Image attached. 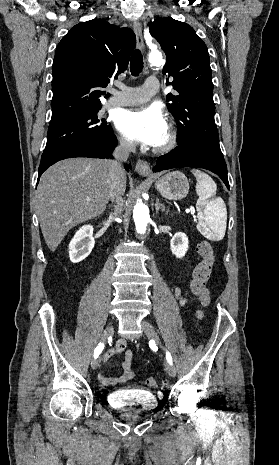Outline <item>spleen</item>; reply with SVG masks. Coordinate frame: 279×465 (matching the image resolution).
Wrapping results in <instances>:
<instances>
[{"label": "spleen", "instance_id": "3e777b00", "mask_svg": "<svg viewBox=\"0 0 279 465\" xmlns=\"http://www.w3.org/2000/svg\"><path fill=\"white\" fill-rule=\"evenodd\" d=\"M192 173L197 179L196 193L199 196L196 203L197 228L212 240H222L227 225L226 205L221 198H213L217 186L209 175L200 170H193Z\"/></svg>", "mask_w": 279, "mask_h": 465}]
</instances>
